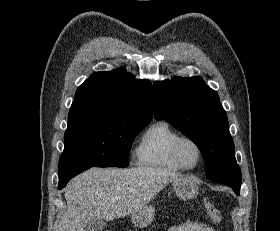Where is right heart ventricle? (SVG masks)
<instances>
[{
    "label": "right heart ventricle",
    "mask_w": 280,
    "mask_h": 231,
    "mask_svg": "<svg viewBox=\"0 0 280 231\" xmlns=\"http://www.w3.org/2000/svg\"><path fill=\"white\" fill-rule=\"evenodd\" d=\"M180 133L167 120H157L142 133L134 151L136 164L168 171L181 168L172 157V146Z\"/></svg>",
    "instance_id": "1"
}]
</instances>
